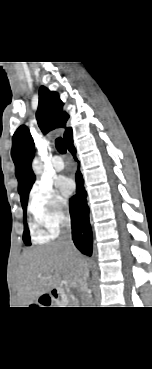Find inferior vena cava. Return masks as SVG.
I'll return each instance as SVG.
<instances>
[{
    "label": "inferior vena cava",
    "mask_w": 152,
    "mask_h": 369,
    "mask_svg": "<svg viewBox=\"0 0 152 369\" xmlns=\"http://www.w3.org/2000/svg\"><path fill=\"white\" fill-rule=\"evenodd\" d=\"M61 236H60V242L63 243L66 248L69 251H74L75 247L74 244L72 242V236H71V221H70V217L69 216H65L61 222ZM89 277V270L87 267H85L82 270V277H81V286H83V288L86 290L87 289V279ZM85 304L90 305L91 304V300L90 298L87 296V294H85ZM89 307V306H87Z\"/></svg>",
    "instance_id": "1"
}]
</instances>
